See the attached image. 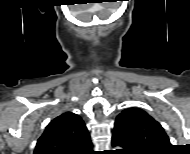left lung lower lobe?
I'll return each instance as SVG.
<instances>
[{"label":"left lung lower lobe","instance_id":"obj_1","mask_svg":"<svg viewBox=\"0 0 190 154\" xmlns=\"http://www.w3.org/2000/svg\"><path fill=\"white\" fill-rule=\"evenodd\" d=\"M112 146H120L122 154H147L149 152L140 148L126 133L124 128L116 124L112 136Z\"/></svg>","mask_w":190,"mask_h":154}]
</instances>
